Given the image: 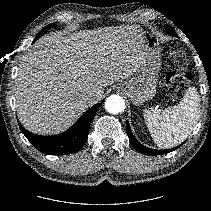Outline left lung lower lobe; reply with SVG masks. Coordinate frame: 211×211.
<instances>
[{"label":"left lung lower lobe","instance_id":"obj_1","mask_svg":"<svg viewBox=\"0 0 211 211\" xmlns=\"http://www.w3.org/2000/svg\"><path fill=\"white\" fill-rule=\"evenodd\" d=\"M127 134L129 136V141L130 143L132 144V146L137 150L139 151L140 153L142 154H146V155H152V156H155V155H161V154H166V153H169L175 149H177L179 146L173 148V149H166V150H155V149H150V148H147L145 146H143L142 144H140L133 136V134L131 133V130H130V127H129V124L127 122Z\"/></svg>","mask_w":211,"mask_h":211}]
</instances>
